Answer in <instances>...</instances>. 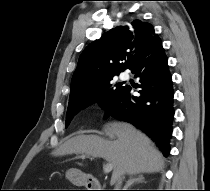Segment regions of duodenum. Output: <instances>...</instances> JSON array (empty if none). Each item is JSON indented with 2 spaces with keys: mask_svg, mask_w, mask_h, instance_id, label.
<instances>
[{
  "mask_svg": "<svg viewBox=\"0 0 210 191\" xmlns=\"http://www.w3.org/2000/svg\"><path fill=\"white\" fill-rule=\"evenodd\" d=\"M82 182L90 191H99L102 186L100 181L93 176L83 175Z\"/></svg>",
  "mask_w": 210,
  "mask_h": 191,
  "instance_id": "obj_1",
  "label": "duodenum"
}]
</instances>
